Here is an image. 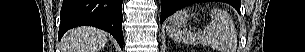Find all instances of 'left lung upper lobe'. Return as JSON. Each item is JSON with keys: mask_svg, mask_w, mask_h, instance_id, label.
Listing matches in <instances>:
<instances>
[{"mask_svg": "<svg viewBox=\"0 0 305 52\" xmlns=\"http://www.w3.org/2000/svg\"><path fill=\"white\" fill-rule=\"evenodd\" d=\"M213 1V0H212ZM219 1H222V2H226V3H229L230 5H236L238 3V0H219Z\"/></svg>", "mask_w": 305, "mask_h": 52, "instance_id": "5c2ea615", "label": "left lung upper lobe"}]
</instances>
